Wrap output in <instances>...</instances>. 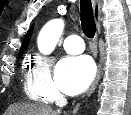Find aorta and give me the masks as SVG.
Here are the masks:
<instances>
[{"mask_svg":"<svg viewBox=\"0 0 131 115\" xmlns=\"http://www.w3.org/2000/svg\"><path fill=\"white\" fill-rule=\"evenodd\" d=\"M64 30V21L54 19L48 22L40 31L37 44L42 54H51Z\"/></svg>","mask_w":131,"mask_h":115,"instance_id":"aorta-1","label":"aorta"}]
</instances>
